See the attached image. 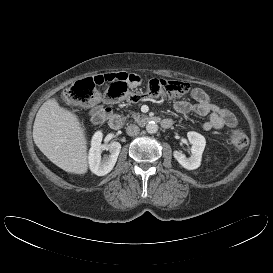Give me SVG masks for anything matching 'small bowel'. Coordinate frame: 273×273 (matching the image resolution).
Instances as JSON below:
<instances>
[{
    "label": "small bowel",
    "mask_w": 273,
    "mask_h": 273,
    "mask_svg": "<svg viewBox=\"0 0 273 273\" xmlns=\"http://www.w3.org/2000/svg\"><path fill=\"white\" fill-rule=\"evenodd\" d=\"M190 97L192 101H176L173 108L176 112L181 114L208 115V120L202 124L203 130H220L224 127L233 128L237 125V119L234 114L228 109L214 103L209 95L202 89H192ZM108 112L109 109L97 106L90 111V116L94 123H100L105 119Z\"/></svg>",
    "instance_id": "obj_1"
}]
</instances>
